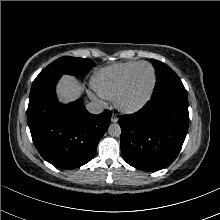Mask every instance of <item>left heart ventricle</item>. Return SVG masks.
<instances>
[{"mask_svg": "<svg viewBox=\"0 0 220 220\" xmlns=\"http://www.w3.org/2000/svg\"><path fill=\"white\" fill-rule=\"evenodd\" d=\"M152 81V71L147 65L137 68L133 74L128 91L124 97L127 104L139 102L147 93Z\"/></svg>", "mask_w": 220, "mask_h": 220, "instance_id": "obj_1", "label": "left heart ventricle"}]
</instances>
